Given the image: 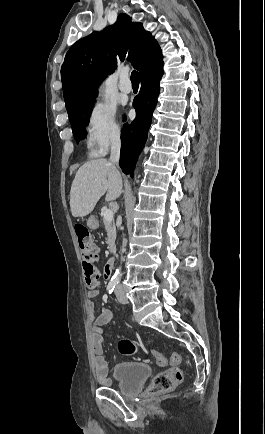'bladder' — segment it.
<instances>
[{
    "label": "bladder",
    "mask_w": 265,
    "mask_h": 434,
    "mask_svg": "<svg viewBox=\"0 0 265 434\" xmlns=\"http://www.w3.org/2000/svg\"><path fill=\"white\" fill-rule=\"evenodd\" d=\"M151 373V367L140 362H122L114 365L112 369L119 392L124 396L136 395Z\"/></svg>",
    "instance_id": "1"
}]
</instances>
